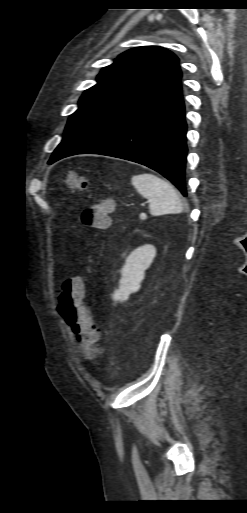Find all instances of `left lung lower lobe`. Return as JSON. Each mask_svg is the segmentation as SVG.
<instances>
[{
	"mask_svg": "<svg viewBox=\"0 0 247 513\" xmlns=\"http://www.w3.org/2000/svg\"><path fill=\"white\" fill-rule=\"evenodd\" d=\"M181 73L82 127L55 149L49 164L75 154H102L148 166L184 196L187 156Z\"/></svg>",
	"mask_w": 247,
	"mask_h": 513,
	"instance_id": "1",
	"label": "left lung lower lobe"
}]
</instances>
